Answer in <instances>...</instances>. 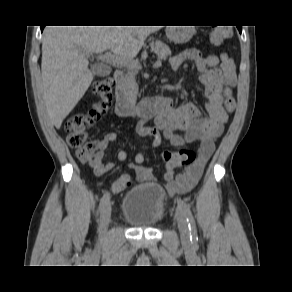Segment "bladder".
<instances>
[{
    "mask_svg": "<svg viewBox=\"0 0 292 292\" xmlns=\"http://www.w3.org/2000/svg\"><path fill=\"white\" fill-rule=\"evenodd\" d=\"M166 198L161 187L139 184L130 189L123 200L121 215L132 227H154L164 216Z\"/></svg>",
    "mask_w": 292,
    "mask_h": 292,
    "instance_id": "bladder-1",
    "label": "bladder"
}]
</instances>
